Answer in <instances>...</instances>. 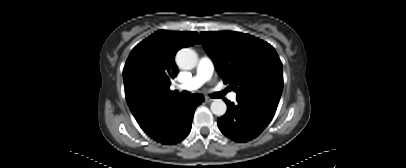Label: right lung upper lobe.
Returning a JSON list of instances; mask_svg holds the SVG:
<instances>
[{"instance_id": "1", "label": "right lung upper lobe", "mask_w": 406, "mask_h": 168, "mask_svg": "<svg viewBox=\"0 0 406 168\" xmlns=\"http://www.w3.org/2000/svg\"><path fill=\"white\" fill-rule=\"evenodd\" d=\"M200 43L197 32L158 30L131 51L123 70L125 96L138 124L179 97L170 90L177 74L176 52Z\"/></svg>"}]
</instances>
